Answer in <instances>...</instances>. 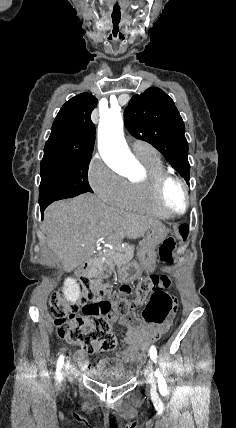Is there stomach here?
Masks as SVG:
<instances>
[{"instance_id": "1", "label": "stomach", "mask_w": 236, "mask_h": 428, "mask_svg": "<svg viewBox=\"0 0 236 428\" xmlns=\"http://www.w3.org/2000/svg\"><path fill=\"white\" fill-rule=\"evenodd\" d=\"M167 230L163 224H157L148 230L144 240L138 250V260H127L124 264L117 267L116 277L119 283L128 287L131 283H136L142 278L143 271L149 272L150 269H157L156 248L165 240Z\"/></svg>"}]
</instances>
